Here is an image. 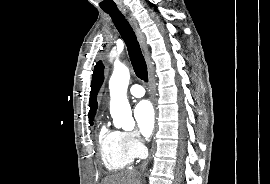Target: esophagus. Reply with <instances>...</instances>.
Instances as JSON below:
<instances>
[{
	"instance_id": "obj_1",
	"label": "esophagus",
	"mask_w": 270,
	"mask_h": 184,
	"mask_svg": "<svg viewBox=\"0 0 270 184\" xmlns=\"http://www.w3.org/2000/svg\"><path fill=\"white\" fill-rule=\"evenodd\" d=\"M122 12L124 14H127L126 10L125 9H122ZM127 18L129 20V22L132 24V26L134 27L136 33H137V36L139 38V41H140V44H141V47L144 51V54H145V58H146V62H147V66H148V76H149V91H150V94H151V98H152V101L153 103L155 104V88H154V77H153V71H152V65H151V61H150V57H149V53H148V48L146 46V43H145V37L144 35L140 32L139 28H138V24L135 20V18L130 15V14H127ZM150 159V157H149ZM149 159H147L141 166L142 169H144L146 167V165L148 164V161Z\"/></svg>"
}]
</instances>
